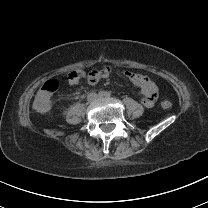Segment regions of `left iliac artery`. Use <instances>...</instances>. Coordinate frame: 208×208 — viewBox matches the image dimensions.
I'll list each match as a JSON object with an SVG mask.
<instances>
[{
	"mask_svg": "<svg viewBox=\"0 0 208 208\" xmlns=\"http://www.w3.org/2000/svg\"><path fill=\"white\" fill-rule=\"evenodd\" d=\"M105 96L110 97L111 96V93L110 92H106L105 93Z\"/></svg>",
	"mask_w": 208,
	"mask_h": 208,
	"instance_id": "44dca946",
	"label": "left iliac artery"
}]
</instances>
